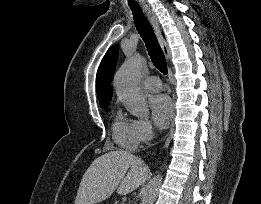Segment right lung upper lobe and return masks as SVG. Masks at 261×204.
Instances as JSON below:
<instances>
[{"label": "right lung upper lobe", "instance_id": "obj_1", "mask_svg": "<svg viewBox=\"0 0 261 204\" xmlns=\"http://www.w3.org/2000/svg\"><path fill=\"white\" fill-rule=\"evenodd\" d=\"M119 46L113 45L106 52L97 72V97L99 103H110L112 98L111 82L118 60Z\"/></svg>", "mask_w": 261, "mask_h": 204}]
</instances>
